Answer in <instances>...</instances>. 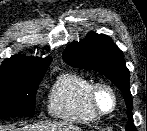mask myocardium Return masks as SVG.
Returning a JSON list of instances; mask_svg holds the SVG:
<instances>
[{
  "mask_svg": "<svg viewBox=\"0 0 147 131\" xmlns=\"http://www.w3.org/2000/svg\"><path fill=\"white\" fill-rule=\"evenodd\" d=\"M102 89L109 91V93L112 96L113 104L109 110L101 109L98 104V99H97L98 93ZM88 101H89V106H90L92 112L97 117H104V116L111 115L116 110L117 105H118V95L112 85H110L107 82L100 81V82L93 83V85L91 86V88L89 90V94H88Z\"/></svg>",
  "mask_w": 147,
  "mask_h": 131,
  "instance_id": "myocardium-1",
  "label": "myocardium"
}]
</instances>
